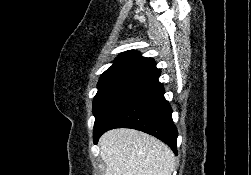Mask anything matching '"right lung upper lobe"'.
Instances as JSON below:
<instances>
[{"label":"right lung upper lobe","mask_w":251,"mask_h":175,"mask_svg":"<svg viewBox=\"0 0 251 175\" xmlns=\"http://www.w3.org/2000/svg\"><path fill=\"white\" fill-rule=\"evenodd\" d=\"M122 76L144 81L159 77L160 70L156 68V62L153 59L143 57L135 50H129L121 53L100 79Z\"/></svg>","instance_id":"obj_1"}]
</instances>
